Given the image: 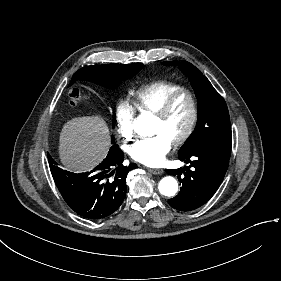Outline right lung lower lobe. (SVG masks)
<instances>
[{
    "label": "right lung lower lobe",
    "instance_id": "obj_1",
    "mask_svg": "<svg viewBox=\"0 0 281 281\" xmlns=\"http://www.w3.org/2000/svg\"><path fill=\"white\" fill-rule=\"evenodd\" d=\"M54 181L69 207L87 219L104 218L115 212L126 195V177L137 167L124 166V154L113 145L107 157L90 172L74 174L60 169L50 157ZM51 159L53 162H51Z\"/></svg>",
    "mask_w": 281,
    "mask_h": 281
}]
</instances>
